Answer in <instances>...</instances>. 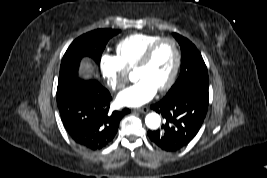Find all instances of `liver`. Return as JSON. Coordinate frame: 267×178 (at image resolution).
Returning <instances> with one entry per match:
<instances>
[{
  "mask_svg": "<svg viewBox=\"0 0 267 178\" xmlns=\"http://www.w3.org/2000/svg\"><path fill=\"white\" fill-rule=\"evenodd\" d=\"M80 73L84 78H90L94 73V66L89 60H84L81 64Z\"/></svg>",
  "mask_w": 267,
  "mask_h": 178,
  "instance_id": "liver-1",
  "label": "liver"
}]
</instances>
